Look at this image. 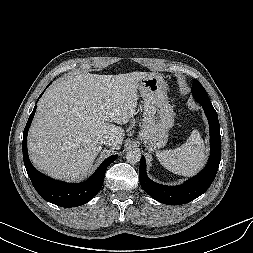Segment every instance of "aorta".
Here are the masks:
<instances>
[{"label": "aorta", "instance_id": "762f6f07", "mask_svg": "<svg viewBox=\"0 0 253 253\" xmlns=\"http://www.w3.org/2000/svg\"><path fill=\"white\" fill-rule=\"evenodd\" d=\"M141 159V153L139 149L133 148L129 149L126 153V160L130 164H136Z\"/></svg>", "mask_w": 253, "mask_h": 253}]
</instances>
